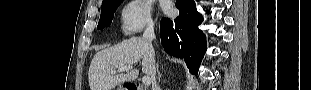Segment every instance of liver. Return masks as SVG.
Here are the masks:
<instances>
[{
    "label": "liver",
    "mask_w": 311,
    "mask_h": 90,
    "mask_svg": "<svg viewBox=\"0 0 311 90\" xmlns=\"http://www.w3.org/2000/svg\"><path fill=\"white\" fill-rule=\"evenodd\" d=\"M139 62L143 73L151 76L155 52L152 44L144 38L133 37L97 52L88 71L90 90H113L126 81L136 79L139 75L137 69L117 75L112 71Z\"/></svg>",
    "instance_id": "liver-1"
}]
</instances>
